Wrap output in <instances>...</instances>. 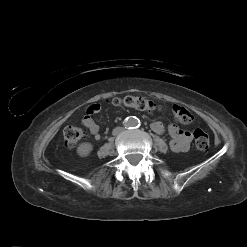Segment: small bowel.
Instances as JSON below:
<instances>
[{
    "instance_id": "1",
    "label": "small bowel",
    "mask_w": 247,
    "mask_h": 247,
    "mask_svg": "<svg viewBox=\"0 0 247 247\" xmlns=\"http://www.w3.org/2000/svg\"><path fill=\"white\" fill-rule=\"evenodd\" d=\"M101 107L99 104L94 103L87 109L86 115L82 118V125L89 131V133L96 139H100L99 126L93 120L92 116L100 111ZM151 129L157 133L162 134L165 131V126L161 121H154L151 123ZM168 133L171 137L170 149L173 152H186L190 147L193 135L191 132L181 130L177 125L170 124L168 126Z\"/></svg>"
}]
</instances>
